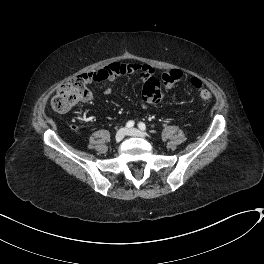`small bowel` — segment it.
<instances>
[{"mask_svg": "<svg viewBox=\"0 0 264 264\" xmlns=\"http://www.w3.org/2000/svg\"><path fill=\"white\" fill-rule=\"evenodd\" d=\"M134 74H138L141 82H145L147 79L155 77V72L153 68L147 64L112 63L99 70L84 73L82 75V78L87 83H93V82L113 83L122 75H134ZM167 88H170V86ZM107 93L111 94V90L107 89ZM140 103L144 109H148L150 105L154 103V101L149 100L144 95H142L140 98Z\"/></svg>", "mask_w": 264, "mask_h": 264, "instance_id": "small-bowel-1", "label": "small bowel"}]
</instances>
